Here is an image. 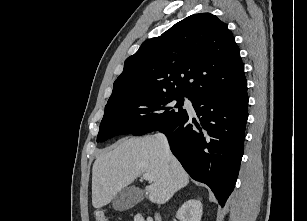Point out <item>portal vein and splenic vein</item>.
Segmentation results:
<instances>
[{"instance_id": "obj_1", "label": "portal vein and splenic vein", "mask_w": 307, "mask_h": 221, "mask_svg": "<svg viewBox=\"0 0 307 221\" xmlns=\"http://www.w3.org/2000/svg\"><path fill=\"white\" fill-rule=\"evenodd\" d=\"M143 178H144L145 180H148V181H151V182L155 180V176L152 175V174H149V173L143 174Z\"/></svg>"}]
</instances>
